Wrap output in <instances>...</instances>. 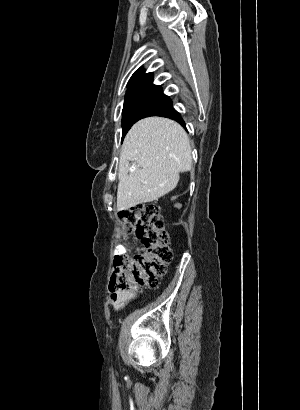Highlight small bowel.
Returning a JSON list of instances; mask_svg holds the SVG:
<instances>
[{
  "mask_svg": "<svg viewBox=\"0 0 300 410\" xmlns=\"http://www.w3.org/2000/svg\"><path fill=\"white\" fill-rule=\"evenodd\" d=\"M117 254H123L126 249L123 245H117L115 247ZM136 299V293L133 291L128 292H112L109 297L110 305L114 312L123 310L129 303Z\"/></svg>",
  "mask_w": 300,
  "mask_h": 410,
  "instance_id": "obj_1",
  "label": "small bowel"
}]
</instances>
